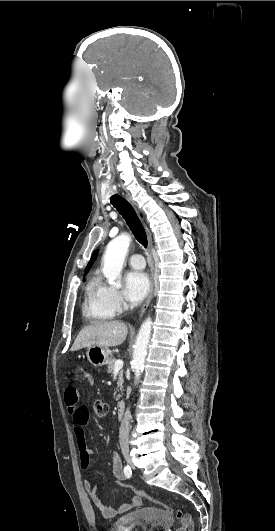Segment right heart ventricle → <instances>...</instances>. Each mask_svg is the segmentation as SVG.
<instances>
[{"label": "right heart ventricle", "instance_id": "obj_1", "mask_svg": "<svg viewBox=\"0 0 275 531\" xmlns=\"http://www.w3.org/2000/svg\"><path fill=\"white\" fill-rule=\"evenodd\" d=\"M98 281L91 277L84 289L83 311L92 320L104 321L110 316L100 307L98 303Z\"/></svg>", "mask_w": 275, "mask_h": 531}]
</instances>
